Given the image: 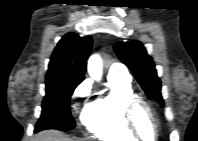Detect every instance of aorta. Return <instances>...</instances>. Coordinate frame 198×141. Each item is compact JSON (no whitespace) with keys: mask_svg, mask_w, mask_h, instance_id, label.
Returning a JSON list of instances; mask_svg holds the SVG:
<instances>
[{"mask_svg":"<svg viewBox=\"0 0 198 141\" xmlns=\"http://www.w3.org/2000/svg\"><path fill=\"white\" fill-rule=\"evenodd\" d=\"M90 77L96 81H100L103 73V63L100 55H91L87 66Z\"/></svg>","mask_w":198,"mask_h":141,"instance_id":"1","label":"aorta"}]
</instances>
